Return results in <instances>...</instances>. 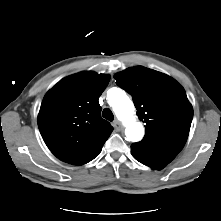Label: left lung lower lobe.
<instances>
[{"label": "left lung lower lobe", "instance_id": "obj_1", "mask_svg": "<svg viewBox=\"0 0 221 221\" xmlns=\"http://www.w3.org/2000/svg\"><path fill=\"white\" fill-rule=\"evenodd\" d=\"M132 155L133 157L139 161L140 163L151 167L152 169H163L167 164L160 162L153 157H151L147 152H145L142 148L131 145Z\"/></svg>", "mask_w": 221, "mask_h": 221}]
</instances>
